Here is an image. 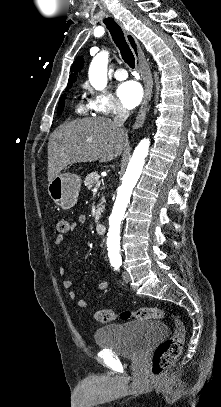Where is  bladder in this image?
Here are the masks:
<instances>
[{
  "label": "bladder",
  "mask_w": 221,
  "mask_h": 407,
  "mask_svg": "<svg viewBox=\"0 0 221 407\" xmlns=\"http://www.w3.org/2000/svg\"><path fill=\"white\" fill-rule=\"evenodd\" d=\"M166 334L167 326L162 321H137L98 327L94 339L97 346L113 349L121 357L137 358Z\"/></svg>",
  "instance_id": "obj_1"
}]
</instances>
